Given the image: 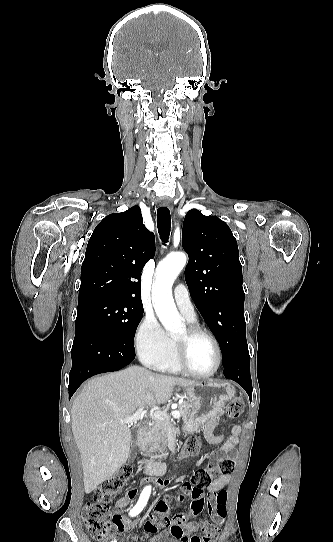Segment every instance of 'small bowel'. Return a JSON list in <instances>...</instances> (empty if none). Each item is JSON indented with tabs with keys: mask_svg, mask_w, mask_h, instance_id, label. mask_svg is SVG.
Returning <instances> with one entry per match:
<instances>
[{
	"mask_svg": "<svg viewBox=\"0 0 333 542\" xmlns=\"http://www.w3.org/2000/svg\"><path fill=\"white\" fill-rule=\"evenodd\" d=\"M218 422V419L216 420L212 418L205 424L203 429L204 437L208 443L213 445L222 444L220 447V452L212 453L210 459L214 463H230L234 459L233 454L230 452H232L237 447L242 428L239 424H234L231 427L230 436L226 440H224L223 435L214 434V429L217 426ZM228 482V476H220L210 484L208 490L209 492H213L222 489L225 485H227ZM147 483H149L150 485L154 483L155 485L157 484L159 487H167L170 484V481L168 479L163 480L160 476L156 477V479L154 477L151 479L149 476H146L140 481V484L142 486H145ZM136 496L137 491L134 488H129L126 490L125 494L117 500L116 506L118 508H126L131 504L132 500H134ZM179 498L180 500L183 499L182 496H180ZM135 525L136 521L134 520L133 516H129L126 518V523L117 522L115 524V527L120 533H123L124 531L134 527ZM184 528L187 533L190 534L197 530L198 524L195 522H189L184 524Z\"/></svg>",
	"mask_w": 333,
	"mask_h": 542,
	"instance_id": "1",
	"label": "small bowel"
}]
</instances>
